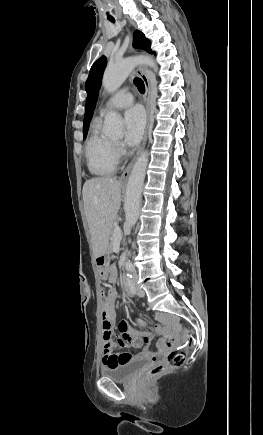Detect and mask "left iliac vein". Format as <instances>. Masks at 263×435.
Segmentation results:
<instances>
[{
  "instance_id": "left-iliac-vein-1",
  "label": "left iliac vein",
  "mask_w": 263,
  "mask_h": 435,
  "mask_svg": "<svg viewBox=\"0 0 263 435\" xmlns=\"http://www.w3.org/2000/svg\"><path fill=\"white\" fill-rule=\"evenodd\" d=\"M133 282H134V286H135L137 295L140 297L144 296L145 295L144 290L137 284V275L136 274H134Z\"/></svg>"
}]
</instances>
